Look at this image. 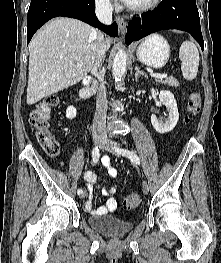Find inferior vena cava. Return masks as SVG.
Wrapping results in <instances>:
<instances>
[{"instance_id":"1","label":"inferior vena cava","mask_w":221,"mask_h":263,"mask_svg":"<svg viewBox=\"0 0 221 263\" xmlns=\"http://www.w3.org/2000/svg\"><path fill=\"white\" fill-rule=\"evenodd\" d=\"M96 16L98 20L109 25L112 23V5L110 0H95ZM97 40V52L94 62L93 74L100 81V85L97 91L96 100V112L93 122V136L106 139V114H107V98H106V87L103 83L105 69H101L102 62L105 58L106 45L103 33L98 34Z\"/></svg>"}]
</instances>
